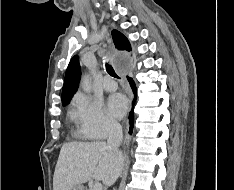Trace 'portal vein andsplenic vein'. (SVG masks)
<instances>
[{
	"mask_svg": "<svg viewBox=\"0 0 234 190\" xmlns=\"http://www.w3.org/2000/svg\"><path fill=\"white\" fill-rule=\"evenodd\" d=\"M92 190H102V184L99 183V182H96V183L93 185Z\"/></svg>",
	"mask_w": 234,
	"mask_h": 190,
	"instance_id": "obj_1",
	"label": "portal vein and splenic vein"
}]
</instances>
